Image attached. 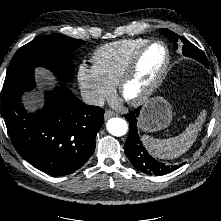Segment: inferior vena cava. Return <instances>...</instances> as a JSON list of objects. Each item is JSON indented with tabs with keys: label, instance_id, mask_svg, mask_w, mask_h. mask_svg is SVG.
<instances>
[{
	"label": "inferior vena cava",
	"instance_id": "inferior-vena-cava-1",
	"mask_svg": "<svg viewBox=\"0 0 221 221\" xmlns=\"http://www.w3.org/2000/svg\"><path fill=\"white\" fill-rule=\"evenodd\" d=\"M81 96L83 102L88 105H97V106L104 105V98L94 91L84 90L81 92Z\"/></svg>",
	"mask_w": 221,
	"mask_h": 221
}]
</instances>
